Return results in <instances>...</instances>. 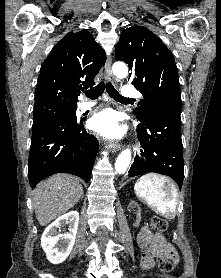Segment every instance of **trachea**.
Masks as SVG:
<instances>
[{
  "instance_id": "3493384b",
  "label": "trachea",
  "mask_w": 221,
  "mask_h": 278,
  "mask_svg": "<svg viewBox=\"0 0 221 278\" xmlns=\"http://www.w3.org/2000/svg\"><path fill=\"white\" fill-rule=\"evenodd\" d=\"M105 88L110 97H112L116 101H132V99L124 98L123 96H121L110 82H107L106 84L104 82H100L93 89L86 90L85 95L90 99H97L103 94Z\"/></svg>"
}]
</instances>
